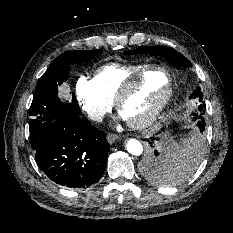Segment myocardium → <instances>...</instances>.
<instances>
[{"label": "myocardium", "instance_id": "1", "mask_svg": "<svg viewBox=\"0 0 233 233\" xmlns=\"http://www.w3.org/2000/svg\"><path fill=\"white\" fill-rule=\"evenodd\" d=\"M156 71H161L167 76L168 82L166 89L162 94V96L157 101V103L144 116H142L137 120H127L128 125L134 129H143L150 126L159 117V115L162 113V111L170 101L174 88V81L171 73L167 68L163 66H158V65L149 66L140 73H138L137 75L125 81L115 96L114 99L115 108L119 113H121V107L124 101L126 100V98L130 95V93L138 85H140L151 73Z\"/></svg>", "mask_w": 233, "mask_h": 233}]
</instances>
